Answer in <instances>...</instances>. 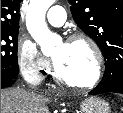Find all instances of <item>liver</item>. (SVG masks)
Listing matches in <instances>:
<instances>
[{"instance_id": "obj_1", "label": "liver", "mask_w": 123, "mask_h": 113, "mask_svg": "<svg viewBox=\"0 0 123 113\" xmlns=\"http://www.w3.org/2000/svg\"><path fill=\"white\" fill-rule=\"evenodd\" d=\"M48 97L20 88L1 89V113H49Z\"/></svg>"}]
</instances>
